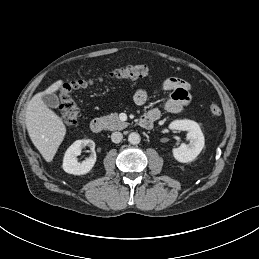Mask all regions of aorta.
<instances>
[{"instance_id": "1", "label": "aorta", "mask_w": 259, "mask_h": 259, "mask_svg": "<svg viewBox=\"0 0 259 259\" xmlns=\"http://www.w3.org/2000/svg\"><path fill=\"white\" fill-rule=\"evenodd\" d=\"M128 141L133 145L138 144L141 141L140 135L138 133L132 132L128 136Z\"/></svg>"}]
</instances>
